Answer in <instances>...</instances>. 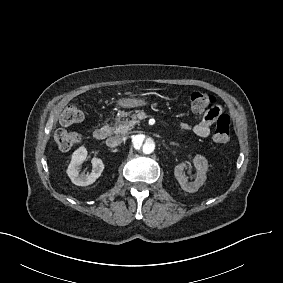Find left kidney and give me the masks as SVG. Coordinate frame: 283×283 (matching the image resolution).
Listing matches in <instances>:
<instances>
[{"label":"left kidney","instance_id":"5707ae66","mask_svg":"<svg viewBox=\"0 0 283 283\" xmlns=\"http://www.w3.org/2000/svg\"><path fill=\"white\" fill-rule=\"evenodd\" d=\"M194 166L197 170V175L195 181L188 182V179L185 175L184 168L186 167L185 163H181L175 166L174 175L177 181L179 182L181 188L189 193H194L204 184L206 181V172L208 169V161L204 156L196 155L193 159Z\"/></svg>","mask_w":283,"mask_h":283}]
</instances>
